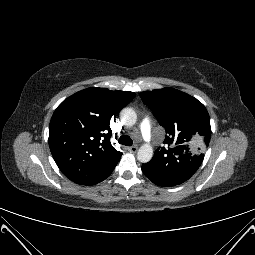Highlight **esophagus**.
Segmentation results:
<instances>
[{"mask_svg": "<svg viewBox=\"0 0 255 255\" xmlns=\"http://www.w3.org/2000/svg\"><path fill=\"white\" fill-rule=\"evenodd\" d=\"M128 150H129L131 153H136L137 150H138V147H137V146H132V147H129Z\"/></svg>", "mask_w": 255, "mask_h": 255, "instance_id": "esophagus-1", "label": "esophagus"}]
</instances>
